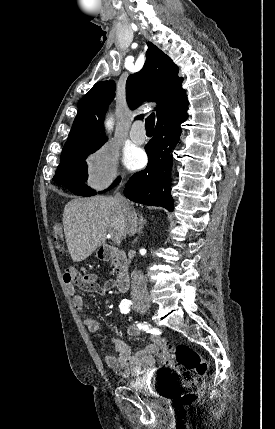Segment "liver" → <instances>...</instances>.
<instances>
[{"mask_svg":"<svg viewBox=\"0 0 275 429\" xmlns=\"http://www.w3.org/2000/svg\"><path fill=\"white\" fill-rule=\"evenodd\" d=\"M63 226L74 262L89 257L106 241L107 232L126 236V222L115 197L76 198L65 205Z\"/></svg>","mask_w":275,"mask_h":429,"instance_id":"6515ba94","label":"liver"}]
</instances>
